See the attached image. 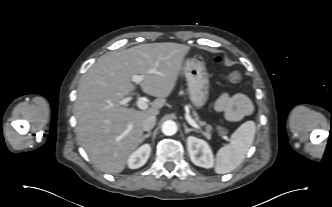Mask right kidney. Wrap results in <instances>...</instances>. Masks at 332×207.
<instances>
[{
    "label": "right kidney",
    "mask_w": 332,
    "mask_h": 207,
    "mask_svg": "<svg viewBox=\"0 0 332 207\" xmlns=\"http://www.w3.org/2000/svg\"><path fill=\"white\" fill-rule=\"evenodd\" d=\"M151 153V147L149 144H144L139 147L128 158V167L131 169H137L142 167L148 160Z\"/></svg>",
    "instance_id": "ca27d5eb"
}]
</instances>
